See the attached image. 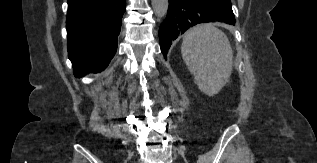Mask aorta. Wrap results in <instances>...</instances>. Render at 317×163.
I'll return each instance as SVG.
<instances>
[{
	"label": "aorta",
	"instance_id": "obj_1",
	"mask_svg": "<svg viewBox=\"0 0 317 163\" xmlns=\"http://www.w3.org/2000/svg\"><path fill=\"white\" fill-rule=\"evenodd\" d=\"M152 8L156 16L162 18L168 11L169 0H151Z\"/></svg>",
	"mask_w": 317,
	"mask_h": 163
}]
</instances>
